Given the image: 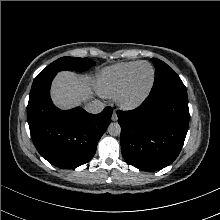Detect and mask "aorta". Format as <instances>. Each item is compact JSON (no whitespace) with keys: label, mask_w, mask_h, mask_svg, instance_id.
I'll return each instance as SVG.
<instances>
[{"label":"aorta","mask_w":220,"mask_h":220,"mask_svg":"<svg viewBox=\"0 0 220 220\" xmlns=\"http://www.w3.org/2000/svg\"><path fill=\"white\" fill-rule=\"evenodd\" d=\"M108 132L112 136H118L121 133V127L118 123H110L108 126Z\"/></svg>","instance_id":"1"}]
</instances>
